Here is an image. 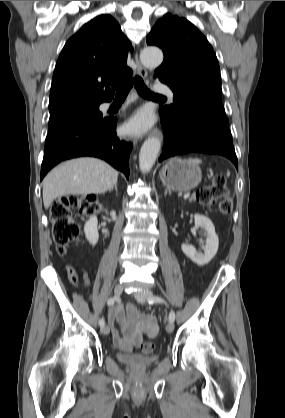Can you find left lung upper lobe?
<instances>
[{
    "label": "left lung upper lobe",
    "mask_w": 285,
    "mask_h": 418,
    "mask_svg": "<svg viewBox=\"0 0 285 418\" xmlns=\"http://www.w3.org/2000/svg\"><path fill=\"white\" fill-rule=\"evenodd\" d=\"M163 50L164 61L154 77L174 93L173 104L160 107V116L175 118L193 109L225 115L217 57L206 37L188 20L166 14L146 38Z\"/></svg>",
    "instance_id": "5c2ea615"
}]
</instances>
